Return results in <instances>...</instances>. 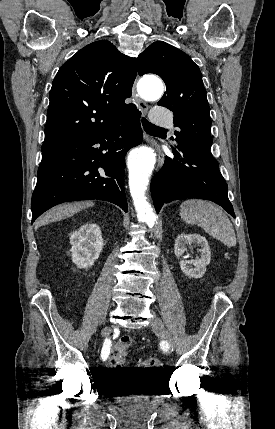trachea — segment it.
<instances>
[{"label":"trachea","instance_id":"trachea-1","mask_svg":"<svg viewBox=\"0 0 275 429\" xmlns=\"http://www.w3.org/2000/svg\"><path fill=\"white\" fill-rule=\"evenodd\" d=\"M142 125L144 130L148 133H154V132H159V131H166V129L155 126L154 124L150 123L147 119L142 118Z\"/></svg>","mask_w":275,"mask_h":429}]
</instances>
